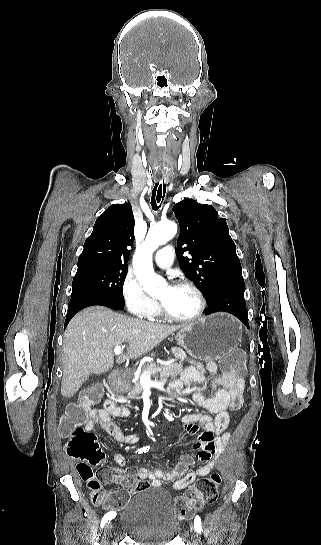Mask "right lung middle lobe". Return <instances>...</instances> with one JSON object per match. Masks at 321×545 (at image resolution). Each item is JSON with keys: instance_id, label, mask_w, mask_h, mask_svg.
Returning <instances> with one entry per match:
<instances>
[{"instance_id": "right-lung-middle-lobe-1", "label": "right lung middle lobe", "mask_w": 321, "mask_h": 545, "mask_svg": "<svg viewBox=\"0 0 321 545\" xmlns=\"http://www.w3.org/2000/svg\"><path fill=\"white\" fill-rule=\"evenodd\" d=\"M128 267L92 265L78 268L72 282L71 299L94 295L124 302L123 284Z\"/></svg>"}]
</instances>
